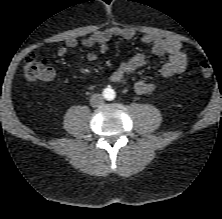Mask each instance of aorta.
Here are the masks:
<instances>
[{
	"instance_id": "1",
	"label": "aorta",
	"mask_w": 222,
	"mask_h": 219,
	"mask_svg": "<svg viewBox=\"0 0 222 219\" xmlns=\"http://www.w3.org/2000/svg\"><path fill=\"white\" fill-rule=\"evenodd\" d=\"M108 95L113 96V93L108 92Z\"/></svg>"
}]
</instances>
